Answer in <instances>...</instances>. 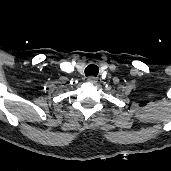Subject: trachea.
<instances>
[{
    "instance_id": "3493384b",
    "label": "trachea",
    "mask_w": 171,
    "mask_h": 171,
    "mask_svg": "<svg viewBox=\"0 0 171 171\" xmlns=\"http://www.w3.org/2000/svg\"><path fill=\"white\" fill-rule=\"evenodd\" d=\"M99 73V67L95 64H90L85 68L86 76H97Z\"/></svg>"
}]
</instances>
